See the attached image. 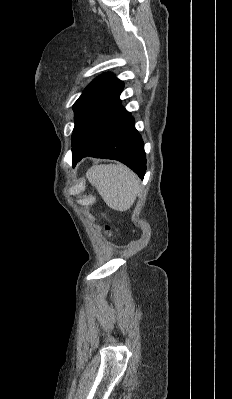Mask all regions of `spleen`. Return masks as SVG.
<instances>
[{"instance_id": "obj_1", "label": "spleen", "mask_w": 232, "mask_h": 399, "mask_svg": "<svg viewBox=\"0 0 232 399\" xmlns=\"http://www.w3.org/2000/svg\"><path fill=\"white\" fill-rule=\"evenodd\" d=\"M91 186H95L109 207L126 211L130 209L140 190L139 178L124 164L91 166L86 174Z\"/></svg>"}]
</instances>
